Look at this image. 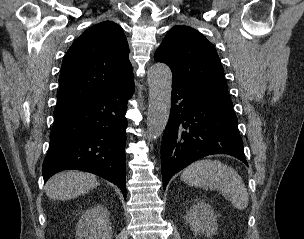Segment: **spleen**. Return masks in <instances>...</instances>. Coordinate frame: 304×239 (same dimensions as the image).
<instances>
[{"mask_svg":"<svg viewBox=\"0 0 304 239\" xmlns=\"http://www.w3.org/2000/svg\"><path fill=\"white\" fill-rule=\"evenodd\" d=\"M181 179L190 186L221 191L225 199L239 210L248 206L249 195L242 178L236 170L218 160L194 162L184 169Z\"/></svg>","mask_w":304,"mask_h":239,"instance_id":"obj_1","label":"spleen"}]
</instances>
